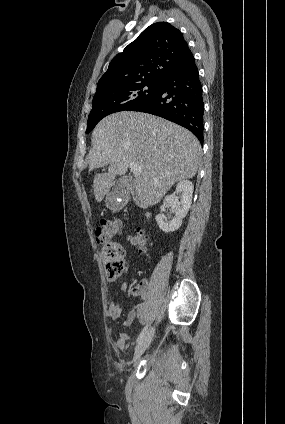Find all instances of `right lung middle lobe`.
I'll list each match as a JSON object with an SVG mask.
<instances>
[{
    "mask_svg": "<svg viewBox=\"0 0 285 424\" xmlns=\"http://www.w3.org/2000/svg\"><path fill=\"white\" fill-rule=\"evenodd\" d=\"M161 85L162 81L146 80L97 90L93 97L86 133L91 132L107 115L131 110L146 101L160 90Z\"/></svg>",
    "mask_w": 285,
    "mask_h": 424,
    "instance_id": "1",
    "label": "right lung middle lobe"
}]
</instances>
